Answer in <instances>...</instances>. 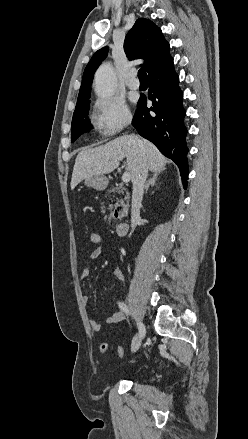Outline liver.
Segmentation results:
<instances>
[{"mask_svg": "<svg viewBox=\"0 0 248 439\" xmlns=\"http://www.w3.org/2000/svg\"><path fill=\"white\" fill-rule=\"evenodd\" d=\"M123 158H126L131 179L143 160L152 172L163 171L168 162L150 141L137 136L124 135L105 145L79 152L73 168L71 189L73 190L89 176L111 173Z\"/></svg>", "mask_w": 248, "mask_h": 439, "instance_id": "1", "label": "liver"}]
</instances>
